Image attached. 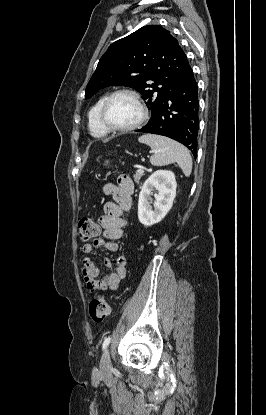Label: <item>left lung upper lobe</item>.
Segmentation results:
<instances>
[{"label":"left lung upper lobe","mask_w":266,"mask_h":415,"mask_svg":"<svg viewBox=\"0 0 266 415\" xmlns=\"http://www.w3.org/2000/svg\"><path fill=\"white\" fill-rule=\"evenodd\" d=\"M188 60L178 40L158 25L144 26L111 44L85 91L88 98L111 85L138 91L151 118L183 74Z\"/></svg>","instance_id":"1"}]
</instances>
